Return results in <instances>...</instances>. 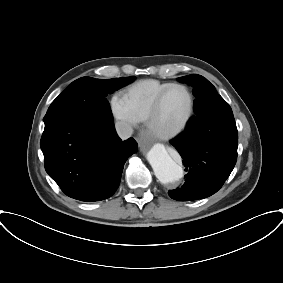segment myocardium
<instances>
[{
	"mask_svg": "<svg viewBox=\"0 0 283 283\" xmlns=\"http://www.w3.org/2000/svg\"><path fill=\"white\" fill-rule=\"evenodd\" d=\"M174 88H182L184 89L189 96V109L188 112L184 118V120L182 121V123L177 126L176 128L170 130V131H160L155 127V120L156 117L159 113L162 101L164 99V97L166 96V94L174 89ZM194 111H195V97L194 94L192 92V90L186 86L185 84H181V83H172L171 85H169L168 87H166L165 89H163L155 98L154 103L151 107V110L148 114V117L146 119V126L147 129L149 130V132L155 136L158 139L161 140H170L178 135H180L189 125L190 121L192 120V117L194 115Z\"/></svg>",
	"mask_w": 283,
	"mask_h": 283,
	"instance_id": "myocardium-1",
	"label": "myocardium"
}]
</instances>
